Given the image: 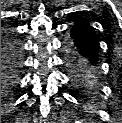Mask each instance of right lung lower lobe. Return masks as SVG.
I'll use <instances>...</instances> for the list:
<instances>
[{
	"label": "right lung lower lobe",
	"mask_w": 122,
	"mask_h": 123,
	"mask_svg": "<svg viewBox=\"0 0 122 123\" xmlns=\"http://www.w3.org/2000/svg\"><path fill=\"white\" fill-rule=\"evenodd\" d=\"M20 42L2 35L1 37V96L11 97L16 89L22 69Z\"/></svg>",
	"instance_id": "1"
}]
</instances>
